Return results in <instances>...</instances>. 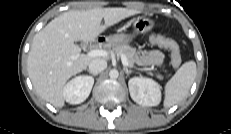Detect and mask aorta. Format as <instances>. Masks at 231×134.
I'll use <instances>...</instances> for the list:
<instances>
[{"instance_id": "762f6f07", "label": "aorta", "mask_w": 231, "mask_h": 134, "mask_svg": "<svg viewBox=\"0 0 231 134\" xmlns=\"http://www.w3.org/2000/svg\"><path fill=\"white\" fill-rule=\"evenodd\" d=\"M109 76H110V78H112V79L118 78V76H119L118 70L112 69V70L109 72Z\"/></svg>"}]
</instances>
